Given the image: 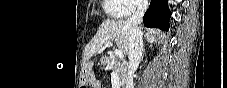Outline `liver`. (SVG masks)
Returning <instances> with one entry per match:
<instances>
[{
    "label": "liver",
    "instance_id": "6515ba94",
    "mask_svg": "<svg viewBox=\"0 0 227 88\" xmlns=\"http://www.w3.org/2000/svg\"><path fill=\"white\" fill-rule=\"evenodd\" d=\"M145 36L150 43L162 38L161 32L156 29L147 30ZM113 40L119 50L124 54H128V29L125 26V21H103L96 35L86 46L84 59L89 60L95 53L100 52L107 42H112Z\"/></svg>",
    "mask_w": 227,
    "mask_h": 88
}]
</instances>
